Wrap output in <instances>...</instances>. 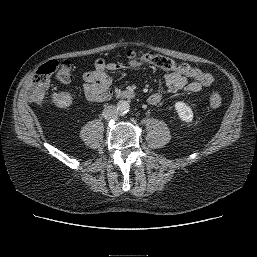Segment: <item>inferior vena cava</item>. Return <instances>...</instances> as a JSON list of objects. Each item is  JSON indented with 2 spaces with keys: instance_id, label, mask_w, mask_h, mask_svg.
I'll list each match as a JSON object with an SVG mask.
<instances>
[{
  "instance_id": "inferior-vena-cava-1",
  "label": "inferior vena cava",
  "mask_w": 257,
  "mask_h": 257,
  "mask_svg": "<svg viewBox=\"0 0 257 257\" xmlns=\"http://www.w3.org/2000/svg\"><path fill=\"white\" fill-rule=\"evenodd\" d=\"M118 110L115 105H108L106 108L103 110V117L105 119H117L118 117Z\"/></svg>"
}]
</instances>
